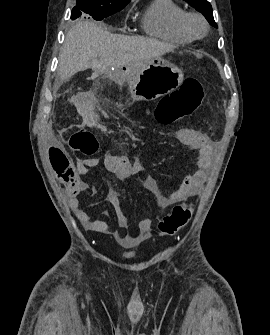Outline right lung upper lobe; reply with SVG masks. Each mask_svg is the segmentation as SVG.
<instances>
[{
  "label": "right lung upper lobe",
  "mask_w": 270,
  "mask_h": 335,
  "mask_svg": "<svg viewBox=\"0 0 270 335\" xmlns=\"http://www.w3.org/2000/svg\"><path fill=\"white\" fill-rule=\"evenodd\" d=\"M102 3H110V4H115V3H129L130 0H99Z\"/></svg>",
  "instance_id": "cb5924a9"
}]
</instances>
